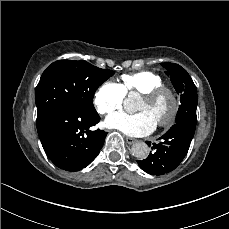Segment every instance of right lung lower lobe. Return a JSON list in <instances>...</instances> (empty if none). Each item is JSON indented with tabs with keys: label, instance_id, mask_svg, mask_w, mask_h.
<instances>
[{
	"label": "right lung lower lobe",
	"instance_id": "obj_1",
	"mask_svg": "<svg viewBox=\"0 0 229 229\" xmlns=\"http://www.w3.org/2000/svg\"><path fill=\"white\" fill-rule=\"evenodd\" d=\"M100 120L98 113L88 114L74 107L54 111L37 126L48 158L59 168L78 171L98 155L107 133L90 130Z\"/></svg>",
	"mask_w": 229,
	"mask_h": 229
}]
</instances>
